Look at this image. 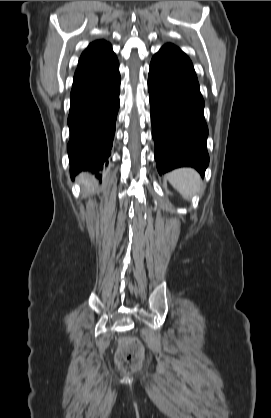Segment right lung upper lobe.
<instances>
[{
	"label": "right lung upper lobe",
	"mask_w": 271,
	"mask_h": 418,
	"mask_svg": "<svg viewBox=\"0 0 271 418\" xmlns=\"http://www.w3.org/2000/svg\"><path fill=\"white\" fill-rule=\"evenodd\" d=\"M116 59L110 43L104 40L90 43L81 54L78 68L74 74L73 85L91 76Z\"/></svg>",
	"instance_id": "1"
}]
</instances>
